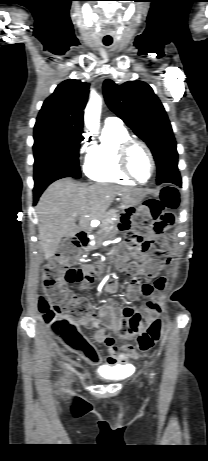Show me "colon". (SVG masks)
Returning a JSON list of instances; mask_svg holds the SVG:
<instances>
[{"mask_svg": "<svg viewBox=\"0 0 208 461\" xmlns=\"http://www.w3.org/2000/svg\"><path fill=\"white\" fill-rule=\"evenodd\" d=\"M179 205V193L173 187H165L160 199H148L143 202L133 222L135 229L129 231L125 243L133 249L149 256L151 264L144 267L136 263H120L128 275L138 277L144 275L153 279L159 267L170 262L166 249V231L174 225L175 217L170 211ZM79 246L78 241H69L59 255L43 267L42 282L46 296L38 299V310L46 320L51 334L69 348L80 349L89 344L83 335L78 321L91 315L90 303L78 297L68 289V284L76 283L87 288L95 280L98 269L93 265L70 266L73 249ZM132 310L126 308V315ZM144 328L137 338L140 351H147L154 346L161 336L159 320H143Z\"/></svg>", "mask_w": 208, "mask_h": 461, "instance_id": "colon-1", "label": "colon"}]
</instances>
